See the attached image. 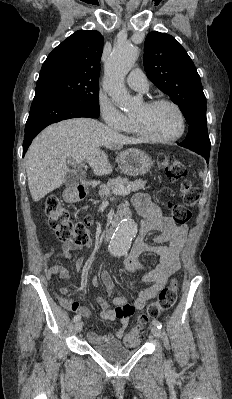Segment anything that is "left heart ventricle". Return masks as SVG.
<instances>
[{
  "mask_svg": "<svg viewBox=\"0 0 232 399\" xmlns=\"http://www.w3.org/2000/svg\"><path fill=\"white\" fill-rule=\"evenodd\" d=\"M132 117L138 120L143 129L153 137H172L180 130L179 115L170 105H158L152 108L142 105Z\"/></svg>",
  "mask_w": 232,
  "mask_h": 399,
  "instance_id": "left-heart-ventricle-1",
  "label": "left heart ventricle"
}]
</instances>
